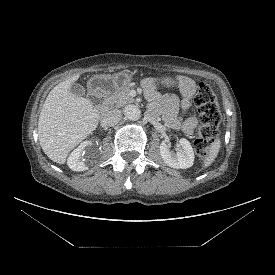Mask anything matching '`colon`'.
<instances>
[{
    "label": "colon",
    "instance_id": "obj_1",
    "mask_svg": "<svg viewBox=\"0 0 275 275\" xmlns=\"http://www.w3.org/2000/svg\"><path fill=\"white\" fill-rule=\"evenodd\" d=\"M194 101L200 118L194 147L197 155L202 160H206L210 155V146L218 135L222 115L217 97L208 84H199Z\"/></svg>",
    "mask_w": 275,
    "mask_h": 275
}]
</instances>
